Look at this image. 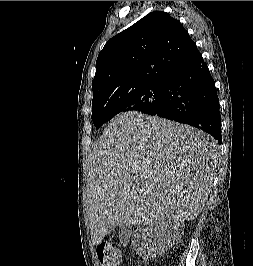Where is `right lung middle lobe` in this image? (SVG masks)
<instances>
[{
	"label": "right lung middle lobe",
	"mask_w": 253,
	"mask_h": 266,
	"mask_svg": "<svg viewBox=\"0 0 253 266\" xmlns=\"http://www.w3.org/2000/svg\"><path fill=\"white\" fill-rule=\"evenodd\" d=\"M164 90V81H157L93 104L92 121L96 128H100L120 112L137 110L153 113L162 106Z\"/></svg>",
	"instance_id": "1"
}]
</instances>
